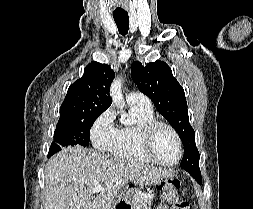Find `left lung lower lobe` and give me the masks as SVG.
Segmentation results:
<instances>
[{
    "label": "left lung lower lobe",
    "mask_w": 253,
    "mask_h": 209,
    "mask_svg": "<svg viewBox=\"0 0 253 209\" xmlns=\"http://www.w3.org/2000/svg\"><path fill=\"white\" fill-rule=\"evenodd\" d=\"M190 175L195 178V180L201 184L202 183V177H201V172H200V169L196 170V172L194 173H190Z\"/></svg>",
    "instance_id": "obj_1"
}]
</instances>
